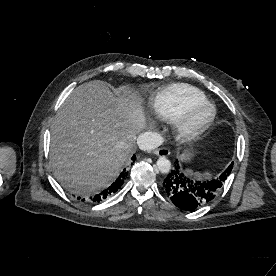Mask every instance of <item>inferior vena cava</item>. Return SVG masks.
Segmentation results:
<instances>
[{"mask_svg":"<svg viewBox=\"0 0 276 276\" xmlns=\"http://www.w3.org/2000/svg\"><path fill=\"white\" fill-rule=\"evenodd\" d=\"M163 143V138L156 132H144L137 138V144L143 151H150L159 147Z\"/></svg>","mask_w":276,"mask_h":276,"instance_id":"obj_1","label":"inferior vena cava"}]
</instances>
